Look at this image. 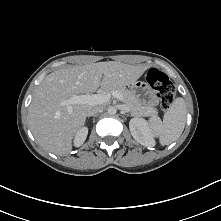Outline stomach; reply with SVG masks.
<instances>
[{"label":"stomach","mask_w":221,"mask_h":221,"mask_svg":"<svg viewBox=\"0 0 221 221\" xmlns=\"http://www.w3.org/2000/svg\"><path fill=\"white\" fill-rule=\"evenodd\" d=\"M130 90L142 104H150L147 99L150 96L151 88L146 82L135 81L130 85Z\"/></svg>","instance_id":"stomach-1"}]
</instances>
